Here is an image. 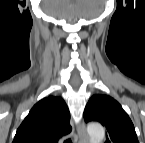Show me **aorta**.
<instances>
[{
	"label": "aorta",
	"mask_w": 145,
	"mask_h": 143,
	"mask_svg": "<svg viewBox=\"0 0 145 143\" xmlns=\"http://www.w3.org/2000/svg\"><path fill=\"white\" fill-rule=\"evenodd\" d=\"M87 132L90 137V142L92 143H100L103 141L105 137L104 128L97 123H91L87 127Z\"/></svg>",
	"instance_id": "1"
}]
</instances>
